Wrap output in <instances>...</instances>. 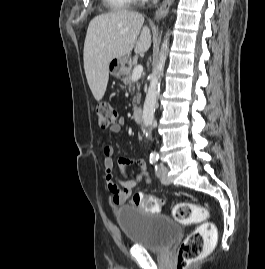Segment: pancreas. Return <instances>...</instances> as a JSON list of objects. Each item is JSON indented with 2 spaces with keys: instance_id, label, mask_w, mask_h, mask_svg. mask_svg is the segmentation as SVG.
Returning <instances> with one entry per match:
<instances>
[{
  "instance_id": "1",
  "label": "pancreas",
  "mask_w": 265,
  "mask_h": 269,
  "mask_svg": "<svg viewBox=\"0 0 265 269\" xmlns=\"http://www.w3.org/2000/svg\"><path fill=\"white\" fill-rule=\"evenodd\" d=\"M123 83L125 84V86H128L129 90H134V81H132V79H131V70H129L128 73L125 75V77L123 79ZM137 88H138V90L140 89L139 84H137ZM140 98H141V95L138 92L133 99V108L134 109L136 108L137 104L140 103Z\"/></svg>"
}]
</instances>
